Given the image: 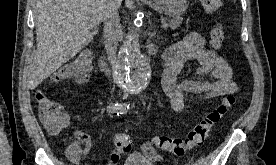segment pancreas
<instances>
[{
	"label": "pancreas",
	"instance_id": "obj_1",
	"mask_svg": "<svg viewBox=\"0 0 276 165\" xmlns=\"http://www.w3.org/2000/svg\"><path fill=\"white\" fill-rule=\"evenodd\" d=\"M181 21H182L181 18L172 19V20L169 21V27H170L171 29H176L177 27L180 26Z\"/></svg>",
	"mask_w": 276,
	"mask_h": 165
}]
</instances>
